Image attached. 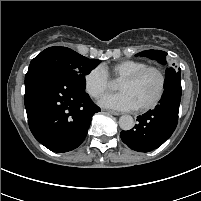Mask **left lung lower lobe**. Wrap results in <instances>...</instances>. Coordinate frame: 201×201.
<instances>
[{"label":"left lung lower lobe","instance_id":"1","mask_svg":"<svg viewBox=\"0 0 201 201\" xmlns=\"http://www.w3.org/2000/svg\"><path fill=\"white\" fill-rule=\"evenodd\" d=\"M181 92V80L172 79L164 86L159 104L138 116V123L131 130L121 132L122 141L139 152H150L160 147L177 126Z\"/></svg>","mask_w":201,"mask_h":201}]
</instances>
